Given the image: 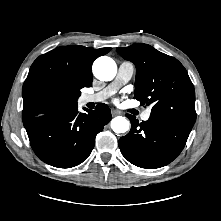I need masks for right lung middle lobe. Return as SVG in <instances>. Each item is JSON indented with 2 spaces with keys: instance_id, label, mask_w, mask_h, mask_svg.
<instances>
[{
  "instance_id": "right-lung-middle-lobe-1",
  "label": "right lung middle lobe",
  "mask_w": 221,
  "mask_h": 221,
  "mask_svg": "<svg viewBox=\"0 0 221 221\" xmlns=\"http://www.w3.org/2000/svg\"><path fill=\"white\" fill-rule=\"evenodd\" d=\"M81 95V92H80V90H77L76 91V99H78V97Z\"/></svg>"
}]
</instances>
